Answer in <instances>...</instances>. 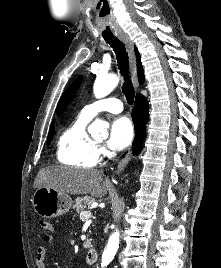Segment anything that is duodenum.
<instances>
[{
  "instance_id": "1",
  "label": "duodenum",
  "mask_w": 221,
  "mask_h": 268,
  "mask_svg": "<svg viewBox=\"0 0 221 268\" xmlns=\"http://www.w3.org/2000/svg\"><path fill=\"white\" fill-rule=\"evenodd\" d=\"M98 260V251L95 248L88 250L86 254V263L88 265H94Z\"/></svg>"
}]
</instances>
